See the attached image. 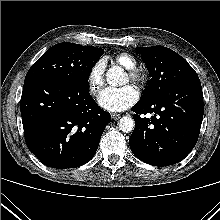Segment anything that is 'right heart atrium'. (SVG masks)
Here are the masks:
<instances>
[{
	"label": "right heart atrium",
	"mask_w": 220,
	"mask_h": 220,
	"mask_svg": "<svg viewBox=\"0 0 220 220\" xmlns=\"http://www.w3.org/2000/svg\"><path fill=\"white\" fill-rule=\"evenodd\" d=\"M106 61L101 58L97 60L89 69L87 81L92 94L96 95L105 83Z\"/></svg>",
	"instance_id": "1"
}]
</instances>
